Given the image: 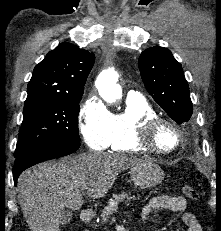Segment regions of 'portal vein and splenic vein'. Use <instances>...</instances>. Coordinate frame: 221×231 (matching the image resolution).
Masks as SVG:
<instances>
[{
  "mask_svg": "<svg viewBox=\"0 0 221 231\" xmlns=\"http://www.w3.org/2000/svg\"><path fill=\"white\" fill-rule=\"evenodd\" d=\"M85 189H87V187H86V186H83V187L81 188V190H85Z\"/></svg>",
  "mask_w": 221,
  "mask_h": 231,
  "instance_id": "portal-vein-and-splenic-vein-1",
  "label": "portal vein and splenic vein"
}]
</instances>
